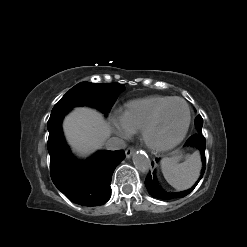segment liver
Instances as JSON below:
<instances>
[{"label": "liver", "mask_w": 247, "mask_h": 247, "mask_svg": "<svg viewBox=\"0 0 247 247\" xmlns=\"http://www.w3.org/2000/svg\"><path fill=\"white\" fill-rule=\"evenodd\" d=\"M63 130L73 151L81 156L100 149L111 134L102 114L87 107H78L66 116Z\"/></svg>", "instance_id": "obj_1"}]
</instances>
